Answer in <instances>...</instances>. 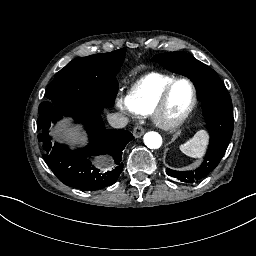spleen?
Segmentation results:
<instances>
[{
  "label": "spleen",
  "mask_w": 256,
  "mask_h": 256,
  "mask_svg": "<svg viewBox=\"0 0 256 256\" xmlns=\"http://www.w3.org/2000/svg\"><path fill=\"white\" fill-rule=\"evenodd\" d=\"M206 142V132L198 131L180 145V150L188 156L200 158L204 153Z\"/></svg>",
  "instance_id": "3e777b00"
}]
</instances>
